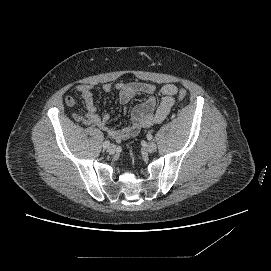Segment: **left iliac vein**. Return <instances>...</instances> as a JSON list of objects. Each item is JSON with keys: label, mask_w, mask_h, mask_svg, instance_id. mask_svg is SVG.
<instances>
[{"label": "left iliac vein", "mask_w": 271, "mask_h": 271, "mask_svg": "<svg viewBox=\"0 0 271 271\" xmlns=\"http://www.w3.org/2000/svg\"><path fill=\"white\" fill-rule=\"evenodd\" d=\"M146 149L150 152L155 151L157 149V145L154 142H149L146 145Z\"/></svg>", "instance_id": "4c4485c4"}]
</instances>
